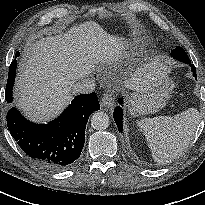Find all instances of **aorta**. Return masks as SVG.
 Masks as SVG:
<instances>
[{
    "mask_svg": "<svg viewBox=\"0 0 205 205\" xmlns=\"http://www.w3.org/2000/svg\"><path fill=\"white\" fill-rule=\"evenodd\" d=\"M109 124V116L104 112H95L91 118V125L96 130H105Z\"/></svg>",
    "mask_w": 205,
    "mask_h": 205,
    "instance_id": "obj_1",
    "label": "aorta"
}]
</instances>
